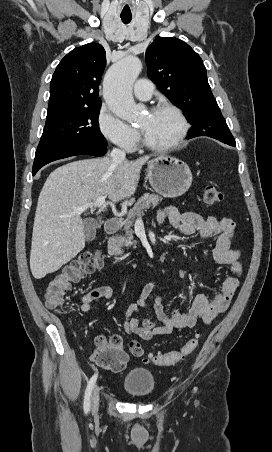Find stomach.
I'll return each mask as SVG.
<instances>
[{
	"mask_svg": "<svg viewBox=\"0 0 272 452\" xmlns=\"http://www.w3.org/2000/svg\"><path fill=\"white\" fill-rule=\"evenodd\" d=\"M147 164L146 173L149 182L153 190L163 197L176 198L190 188L192 173L184 161L160 154Z\"/></svg>",
	"mask_w": 272,
	"mask_h": 452,
	"instance_id": "0dacf381",
	"label": "stomach"
}]
</instances>
